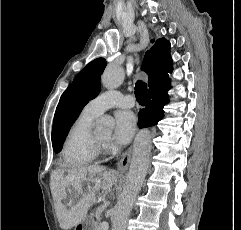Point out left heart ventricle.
<instances>
[{"mask_svg":"<svg viewBox=\"0 0 241 230\" xmlns=\"http://www.w3.org/2000/svg\"><path fill=\"white\" fill-rule=\"evenodd\" d=\"M95 136L102 142H107L110 139V136L104 133H96Z\"/></svg>","mask_w":241,"mask_h":230,"instance_id":"1","label":"left heart ventricle"}]
</instances>
